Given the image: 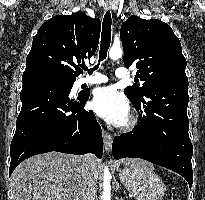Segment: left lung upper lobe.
Returning a JSON list of instances; mask_svg holds the SVG:
<instances>
[{"mask_svg":"<svg viewBox=\"0 0 205 200\" xmlns=\"http://www.w3.org/2000/svg\"><path fill=\"white\" fill-rule=\"evenodd\" d=\"M120 38L124 49V64H136V77L144 81L125 88L132 104L143 102L152 87L170 83L188 84L186 59L179 39L171 27L158 19L144 20L129 17L121 26Z\"/></svg>","mask_w":205,"mask_h":200,"instance_id":"left-lung-upper-lobe-1","label":"left lung upper lobe"}]
</instances>
